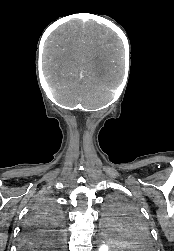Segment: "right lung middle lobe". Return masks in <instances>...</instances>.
<instances>
[{
	"label": "right lung middle lobe",
	"mask_w": 174,
	"mask_h": 251,
	"mask_svg": "<svg viewBox=\"0 0 174 251\" xmlns=\"http://www.w3.org/2000/svg\"><path fill=\"white\" fill-rule=\"evenodd\" d=\"M64 217L60 208L51 200L37 202L28 217L27 224L35 227L38 235L44 234L55 247L62 245L61 228Z\"/></svg>",
	"instance_id": "obj_1"
}]
</instances>
